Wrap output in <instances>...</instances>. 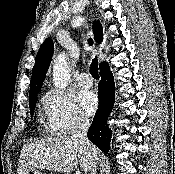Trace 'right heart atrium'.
<instances>
[{
    "label": "right heart atrium",
    "mask_w": 175,
    "mask_h": 174,
    "mask_svg": "<svg viewBox=\"0 0 175 174\" xmlns=\"http://www.w3.org/2000/svg\"><path fill=\"white\" fill-rule=\"evenodd\" d=\"M48 130L52 134L66 135L86 128L88 118L70 94L59 89L49 90L43 97Z\"/></svg>",
    "instance_id": "d8ad5b80"
}]
</instances>
